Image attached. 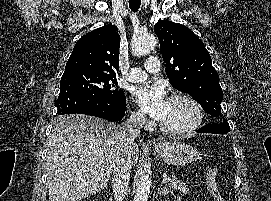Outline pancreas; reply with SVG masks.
Listing matches in <instances>:
<instances>
[{
  "label": "pancreas",
  "mask_w": 271,
  "mask_h": 201,
  "mask_svg": "<svg viewBox=\"0 0 271 201\" xmlns=\"http://www.w3.org/2000/svg\"><path fill=\"white\" fill-rule=\"evenodd\" d=\"M168 185L172 190H180L183 193H189L188 185L185 182L178 180L176 177H172Z\"/></svg>",
  "instance_id": "obj_1"
}]
</instances>
